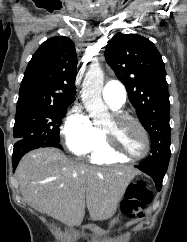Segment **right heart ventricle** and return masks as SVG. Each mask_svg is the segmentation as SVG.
<instances>
[{"instance_id": "obj_1", "label": "right heart ventricle", "mask_w": 187, "mask_h": 242, "mask_svg": "<svg viewBox=\"0 0 187 242\" xmlns=\"http://www.w3.org/2000/svg\"><path fill=\"white\" fill-rule=\"evenodd\" d=\"M101 142L90 152V161L94 164H114L123 163L127 160L112 154L106 147L104 134Z\"/></svg>"}]
</instances>
